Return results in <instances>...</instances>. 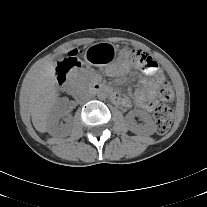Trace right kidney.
Instances as JSON below:
<instances>
[{
	"label": "right kidney",
	"mask_w": 207,
	"mask_h": 207,
	"mask_svg": "<svg viewBox=\"0 0 207 207\" xmlns=\"http://www.w3.org/2000/svg\"><path fill=\"white\" fill-rule=\"evenodd\" d=\"M67 103L66 98H61L54 104L47 121V131L49 133H54L63 127L62 124H59V121L67 115Z\"/></svg>",
	"instance_id": "obj_1"
}]
</instances>
